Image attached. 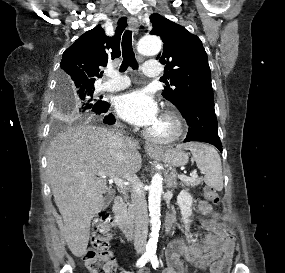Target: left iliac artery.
<instances>
[{
  "label": "left iliac artery",
  "instance_id": "left-iliac-artery-1",
  "mask_svg": "<svg viewBox=\"0 0 285 273\" xmlns=\"http://www.w3.org/2000/svg\"><path fill=\"white\" fill-rule=\"evenodd\" d=\"M150 262H151V265L154 269H156L159 266V261L157 259V256L154 254L150 255Z\"/></svg>",
  "mask_w": 285,
  "mask_h": 273
}]
</instances>
